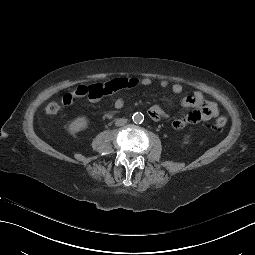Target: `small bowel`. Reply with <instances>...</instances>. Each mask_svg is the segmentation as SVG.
Masks as SVG:
<instances>
[{"mask_svg":"<svg viewBox=\"0 0 255 255\" xmlns=\"http://www.w3.org/2000/svg\"><path fill=\"white\" fill-rule=\"evenodd\" d=\"M152 84V80L149 77L143 78H126L119 77L103 83H92V84H80L73 90L66 93L62 102L64 104H70L77 98H88L91 102H97L103 97L110 95L118 90L122 89H133L137 87H147ZM159 85L162 88L169 87L170 83L168 80H161ZM171 89L174 93L180 94L183 91V86L179 82H175L171 85ZM124 106V100L117 98L114 101V107L120 109ZM182 106L186 108H194L186 116L176 118L172 122V126L175 129H183L188 124H195L199 122L208 121L216 117L219 113L218 106L216 103L206 100L202 93L196 91L193 94L186 96L182 99ZM163 109L154 105L149 109V115L151 118L157 120L163 116Z\"/></svg>","mask_w":255,"mask_h":255,"instance_id":"c3829d8e","label":"small bowel"}]
</instances>
